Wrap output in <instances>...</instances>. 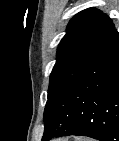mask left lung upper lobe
Here are the masks:
<instances>
[{"mask_svg":"<svg viewBox=\"0 0 119 141\" xmlns=\"http://www.w3.org/2000/svg\"><path fill=\"white\" fill-rule=\"evenodd\" d=\"M112 25L111 19L96 8L85 9L70 20L50 75L48 101L95 58Z\"/></svg>","mask_w":119,"mask_h":141,"instance_id":"left-lung-upper-lobe-1","label":"left lung upper lobe"}]
</instances>
